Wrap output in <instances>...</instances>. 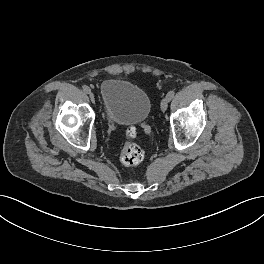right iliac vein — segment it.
Returning <instances> with one entry per match:
<instances>
[{
  "label": "right iliac vein",
  "instance_id": "right-iliac-vein-1",
  "mask_svg": "<svg viewBox=\"0 0 264 264\" xmlns=\"http://www.w3.org/2000/svg\"><path fill=\"white\" fill-rule=\"evenodd\" d=\"M89 97H90L92 102H95V97H94V94L92 92H89Z\"/></svg>",
  "mask_w": 264,
  "mask_h": 264
}]
</instances>
